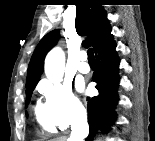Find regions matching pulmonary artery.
Returning a JSON list of instances; mask_svg holds the SVG:
<instances>
[{"label": "pulmonary artery", "instance_id": "1", "mask_svg": "<svg viewBox=\"0 0 155 141\" xmlns=\"http://www.w3.org/2000/svg\"><path fill=\"white\" fill-rule=\"evenodd\" d=\"M79 58H80L81 62L79 63V65L77 67L78 71L81 72V73H83V74L88 73L90 71V67L86 63V59H87L86 53H84V52L81 53V55H80Z\"/></svg>", "mask_w": 155, "mask_h": 141}]
</instances>
